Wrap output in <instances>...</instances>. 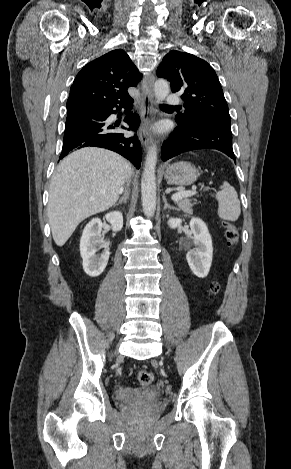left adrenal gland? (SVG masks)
<instances>
[{
	"instance_id": "1",
	"label": "left adrenal gland",
	"mask_w": 291,
	"mask_h": 469,
	"mask_svg": "<svg viewBox=\"0 0 291 469\" xmlns=\"http://www.w3.org/2000/svg\"><path fill=\"white\" fill-rule=\"evenodd\" d=\"M162 198H163V202H164V209L169 208V209H173V210H177V211L179 210L175 206H171L170 204H168L165 194H163Z\"/></svg>"
}]
</instances>
